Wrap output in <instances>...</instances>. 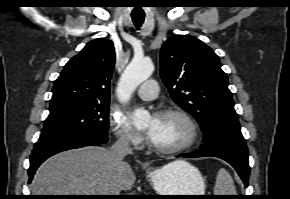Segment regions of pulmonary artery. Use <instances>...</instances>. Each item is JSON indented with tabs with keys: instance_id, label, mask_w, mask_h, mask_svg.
Listing matches in <instances>:
<instances>
[{
	"instance_id": "e3ab8cb5",
	"label": "pulmonary artery",
	"mask_w": 290,
	"mask_h": 199,
	"mask_svg": "<svg viewBox=\"0 0 290 199\" xmlns=\"http://www.w3.org/2000/svg\"><path fill=\"white\" fill-rule=\"evenodd\" d=\"M158 93V84L155 80L144 82L137 90V96L144 101H151L156 98Z\"/></svg>"
}]
</instances>
